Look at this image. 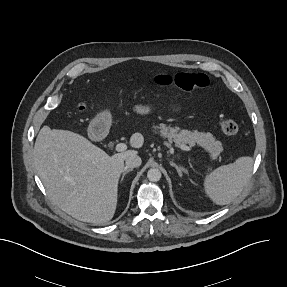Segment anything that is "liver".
Returning <instances> with one entry per match:
<instances>
[{
  "label": "liver",
  "mask_w": 287,
  "mask_h": 287,
  "mask_svg": "<svg viewBox=\"0 0 287 287\" xmlns=\"http://www.w3.org/2000/svg\"><path fill=\"white\" fill-rule=\"evenodd\" d=\"M142 143L140 134L130 138L132 147ZM133 154L137 151L109 156L77 133L48 126L39 131L34 146L35 167L50 200L75 219L94 225L113 218L124 160Z\"/></svg>",
  "instance_id": "1"
}]
</instances>
